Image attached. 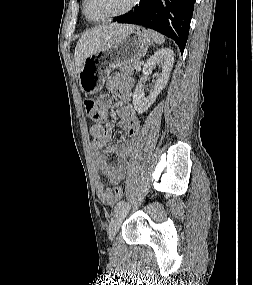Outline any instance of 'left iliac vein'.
<instances>
[{
  "label": "left iliac vein",
  "mask_w": 253,
  "mask_h": 285,
  "mask_svg": "<svg viewBox=\"0 0 253 285\" xmlns=\"http://www.w3.org/2000/svg\"><path fill=\"white\" fill-rule=\"evenodd\" d=\"M130 209L129 204L123 205L119 210L116 211L113 218L111 219L110 225H109V238L112 240L115 235L117 234L118 230L120 229V226L122 224V221L127 216Z\"/></svg>",
  "instance_id": "4c4485c4"
}]
</instances>
